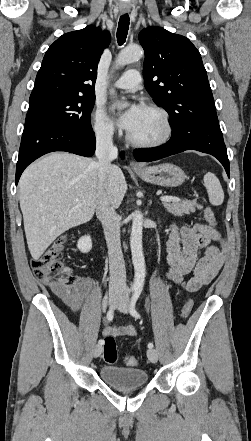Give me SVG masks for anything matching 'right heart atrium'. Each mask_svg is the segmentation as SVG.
<instances>
[{"label": "right heart atrium", "instance_id": "right-heart-atrium-1", "mask_svg": "<svg viewBox=\"0 0 251 441\" xmlns=\"http://www.w3.org/2000/svg\"><path fill=\"white\" fill-rule=\"evenodd\" d=\"M93 130L97 138L112 140L116 134L115 126L101 106H97L93 114Z\"/></svg>", "mask_w": 251, "mask_h": 441}]
</instances>
